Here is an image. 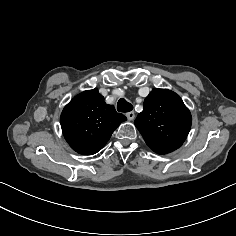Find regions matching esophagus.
<instances>
[{
	"mask_svg": "<svg viewBox=\"0 0 236 236\" xmlns=\"http://www.w3.org/2000/svg\"><path fill=\"white\" fill-rule=\"evenodd\" d=\"M126 117L128 120H133L135 117V113L133 111L126 113Z\"/></svg>",
	"mask_w": 236,
	"mask_h": 236,
	"instance_id": "esophagus-1",
	"label": "esophagus"
}]
</instances>
